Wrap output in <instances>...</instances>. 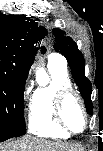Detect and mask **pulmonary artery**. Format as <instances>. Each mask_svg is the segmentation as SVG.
<instances>
[{"label": "pulmonary artery", "instance_id": "1", "mask_svg": "<svg viewBox=\"0 0 103 151\" xmlns=\"http://www.w3.org/2000/svg\"><path fill=\"white\" fill-rule=\"evenodd\" d=\"M48 64H57L66 67L67 62L63 56L57 53H51L48 58Z\"/></svg>", "mask_w": 103, "mask_h": 151}]
</instances>
